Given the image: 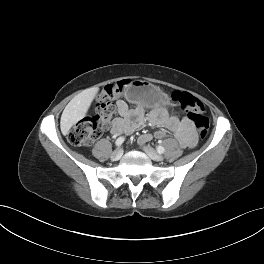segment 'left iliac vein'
<instances>
[{
    "mask_svg": "<svg viewBox=\"0 0 264 264\" xmlns=\"http://www.w3.org/2000/svg\"><path fill=\"white\" fill-rule=\"evenodd\" d=\"M143 151L154 161H163V156L158 154L152 147L144 146Z\"/></svg>",
    "mask_w": 264,
    "mask_h": 264,
    "instance_id": "left-iliac-vein-1",
    "label": "left iliac vein"
}]
</instances>
